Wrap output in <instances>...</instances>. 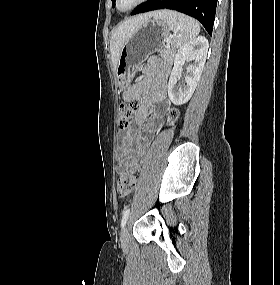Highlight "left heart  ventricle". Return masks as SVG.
Wrapping results in <instances>:
<instances>
[{"label":"left heart ventricle","mask_w":280,"mask_h":285,"mask_svg":"<svg viewBox=\"0 0 280 285\" xmlns=\"http://www.w3.org/2000/svg\"><path fill=\"white\" fill-rule=\"evenodd\" d=\"M135 0H121L120 1V8L125 9L129 7Z\"/></svg>","instance_id":"left-heart-ventricle-1"}]
</instances>
